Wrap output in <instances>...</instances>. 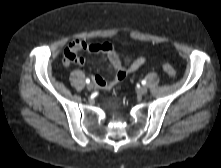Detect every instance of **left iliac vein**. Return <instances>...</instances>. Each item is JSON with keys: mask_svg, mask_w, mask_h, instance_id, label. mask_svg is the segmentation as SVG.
I'll list each match as a JSON object with an SVG mask.
<instances>
[{"mask_svg": "<svg viewBox=\"0 0 221 168\" xmlns=\"http://www.w3.org/2000/svg\"><path fill=\"white\" fill-rule=\"evenodd\" d=\"M147 92H148V89H147V87H145V86L141 87V88L139 89V91H138V93H139L140 95H146Z\"/></svg>", "mask_w": 221, "mask_h": 168, "instance_id": "obj_1", "label": "left iliac vein"}]
</instances>
